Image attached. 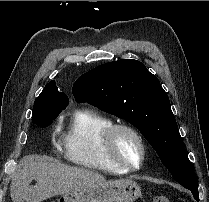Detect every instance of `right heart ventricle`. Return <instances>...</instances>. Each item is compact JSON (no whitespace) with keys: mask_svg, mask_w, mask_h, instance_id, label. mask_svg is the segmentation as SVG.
Here are the masks:
<instances>
[{"mask_svg":"<svg viewBox=\"0 0 209 202\" xmlns=\"http://www.w3.org/2000/svg\"><path fill=\"white\" fill-rule=\"evenodd\" d=\"M113 121L92 110H83L69 123L63 136V156L85 168L122 174L128 171L114 165L105 155L103 139Z\"/></svg>","mask_w":209,"mask_h":202,"instance_id":"e07e8e85","label":"right heart ventricle"}]
</instances>
